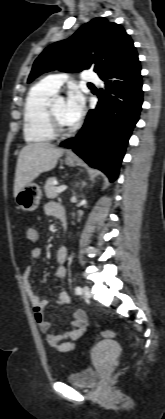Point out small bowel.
<instances>
[{
	"mask_svg": "<svg viewBox=\"0 0 165 419\" xmlns=\"http://www.w3.org/2000/svg\"><path fill=\"white\" fill-rule=\"evenodd\" d=\"M58 205L49 203L46 205V213L51 216L57 215ZM31 232L35 234L31 236ZM27 238L30 242H37L39 240V233L36 228L29 227L27 229ZM42 254L41 248H34L31 251V257L35 265H38V260ZM67 258V250L65 247H60L56 252V260L58 268L55 272L53 287L57 292V304L66 306L71 302L69 293L61 288L60 283L67 275V269L64 262ZM32 267L27 266L23 273L24 286L29 302L31 303L35 320L38 328L42 333L46 334V342L49 346L61 353H69L76 350L79 340L83 337L87 329V317L83 310H76L72 314L70 327L64 333H49L50 323L45 319L44 309L50 304L49 300L40 298L32 288L29 278Z\"/></svg>",
	"mask_w": 165,
	"mask_h": 419,
	"instance_id": "1",
	"label": "small bowel"
}]
</instances>
